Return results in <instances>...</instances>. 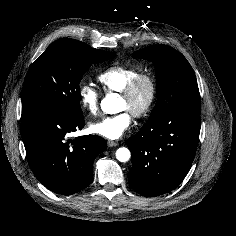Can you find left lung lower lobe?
I'll list each match as a JSON object with an SVG mask.
<instances>
[{
    "label": "left lung lower lobe",
    "instance_id": "obj_1",
    "mask_svg": "<svg viewBox=\"0 0 236 236\" xmlns=\"http://www.w3.org/2000/svg\"><path fill=\"white\" fill-rule=\"evenodd\" d=\"M200 133V110H177L146 123L128 138L133 165L130 186L153 197L175 189L189 172Z\"/></svg>",
    "mask_w": 236,
    "mask_h": 236
}]
</instances>
